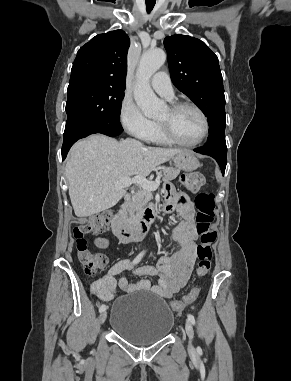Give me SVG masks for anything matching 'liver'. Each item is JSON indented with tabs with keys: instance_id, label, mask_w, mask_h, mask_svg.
<instances>
[{
	"instance_id": "6515ba94",
	"label": "liver",
	"mask_w": 291,
	"mask_h": 381,
	"mask_svg": "<svg viewBox=\"0 0 291 381\" xmlns=\"http://www.w3.org/2000/svg\"><path fill=\"white\" fill-rule=\"evenodd\" d=\"M181 152L146 147L135 139L118 142L101 134L77 142L65 167L75 215L88 217L112 208L126 194L124 188H115L116 181L132 175L145 178Z\"/></svg>"
}]
</instances>
